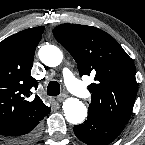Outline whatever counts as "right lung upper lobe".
I'll use <instances>...</instances> for the list:
<instances>
[{
  "label": "right lung upper lobe",
  "instance_id": "right-lung-upper-lobe-1",
  "mask_svg": "<svg viewBox=\"0 0 145 145\" xmlns=\"http://www.w3.org/2000/svg\"><path fill=\"white\" fill-rule=\"evenodd\" d=\"M43 31V26L26 29L0 42V130L27 126L48 108L37 95L26 100L38 85L30 74Z\"/></svg>",
  "mask_w": 145,
  "mask_h": 145
}]
</instances>
